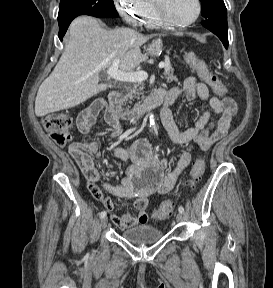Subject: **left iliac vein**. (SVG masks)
<instances>
[{
    "label": "left iliac vein",
    "instance_id": "obj_1",
    "mask_svg": "<svg viewBox=\"0 0 273 288\" xmlns=\"http://www.w3.org/2000/svg\"><path fill=\"white\" fill-rule=\"evenodd\" d=\"M175 218L177 222H181L183 220V214L179 212L176 214Z\"/></svg>",
    "mask_w": 273,
    "mask_h": 288
}]
</instances>
